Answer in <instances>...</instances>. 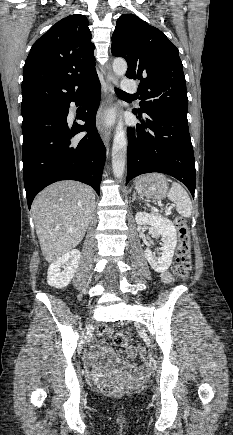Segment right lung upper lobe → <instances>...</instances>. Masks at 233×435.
Masks as SVG:
<instances>
[{
  "instance_id": "cb5924a9",
  "label": "right lung upper lobe",
  "mask_w": 233,
  "mask_h": 435,
  "mask_svg": "<svg viewBox=\"0 0 233 435\" xmlns=\"http://www.w3.org/2000/svg\"><path fill=\"white\" fill-rule=\"evenodd\" d=\"M94 45L85 16L53 25L31 47L22 81V116L62 107L97 76Z\"/></svg>"
}]
</instances>
